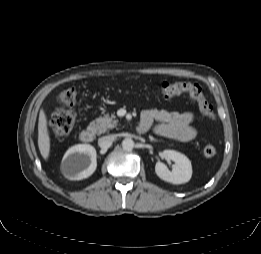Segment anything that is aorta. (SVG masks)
<instances>
[{"mask_svg":"<svg viewBox=\"0 0 261 254\" xmlns=\"http://www.w3.org/2000/svg\"><path fill=\"white\" fill-rule=\"evenodd\" d=\"M134 141L131 139V138H125L123 141H122V148L124 150H127V151H130L134 148Z\"/></svg>","mask_w":261,"mask_h":254,"instance_id":"1","label":"aorta"}]
</instances>
